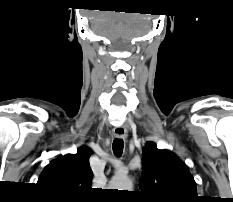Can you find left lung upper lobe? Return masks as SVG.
Wrapping results in <instances>:
<instances>
[{
  "label": "left lung upper lobe",
  "mask_w": 233,
  "mask_h": 202,
  "mask_svg": "<svg viewBox=\"0 0 233 202\" xmlns=\"http://www.w3.org/2000/svg\"><path fill=\"white\" fill-rule=\"evenodd\" d=\"M140 192L145 202H197L194 178L185 163L148 142L142 153Z\"/></svg>",
  "instance_id": "1"
}]
</instances>
